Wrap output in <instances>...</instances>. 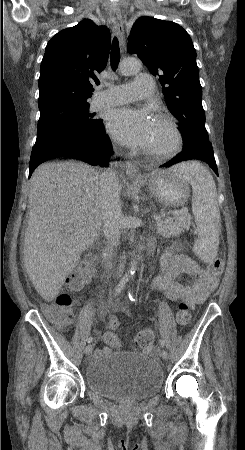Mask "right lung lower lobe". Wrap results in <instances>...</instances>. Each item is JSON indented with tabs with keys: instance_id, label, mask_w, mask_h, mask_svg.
I'll use <instances>...</instances> for the list:
<instances>
[{
	"instance_id": "right-lung-lower-lobe-1",
	"label": "right lung lower lobe",
	"mask_w": 245,
	"mask_h": 450,
	"mask_svg": "<svg viewBox=\"0 0 245 450\" xmlns=\"http://www.w3.org/2000/svg\"><path fill=\"white\" fill-rule=\"evenodd\" d=\"M113 154L109 137L102 122L93 134L85 139H68L38 151H32L29 178L34 169L44 161L58 157L75 158L91 165L108 166V157Z\"/></svg>"
}]
</instances>
